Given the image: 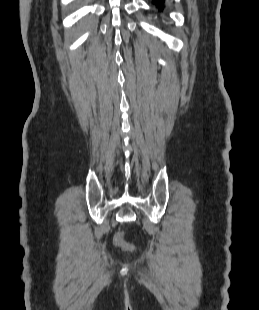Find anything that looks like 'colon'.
Instances as JSON below:
<instances>
[{
    "mask_svg": "<svg viewBox=\"0 0 259 310\" xmlns=\"http://www.w3.org/2000/svg\"><path fill=\"white\" fill-rule=\"evenodd\" d=\"M115 243L119 246H122L128 250H131L133 247L131 245H128L126 244L124 241H123V238H122V234L119 233L117 234V236L115 237Z\"/></svg>",
    "mask_w": 259,
    "mask_h": 310,
    "instance_id": "obj_1",
    "label": "colon"
}]
</instances>
